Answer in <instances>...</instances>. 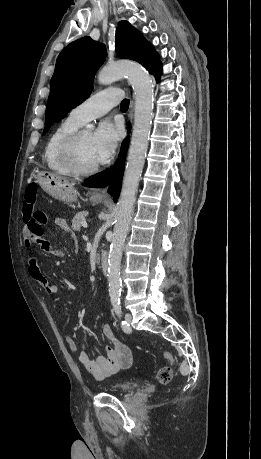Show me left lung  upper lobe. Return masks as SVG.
Returning <instances> with one entry per match:
<instances>
[{
	"label": "left lung upper lobe",
	"mask_w": 261,
	"mask_h": 459,
	"mask_svg": "<svg viewBox=\"0 0 261 459\" xmlns=\"http://www.w3.org/2000/svg\"><path fill=\"white\" fill-rule=\"evenodd\" d=\"M118 25L115 40L118 56L139 62L151 74L160 70L162 63L153 46L127 21ZM105 56V46L90 37L70 43L59 54L51 79L44 133L52 122L63 119L72 108L90 96L94 75Z\"/></svg>",
	"instance_id": "1"
}]
</instances>
